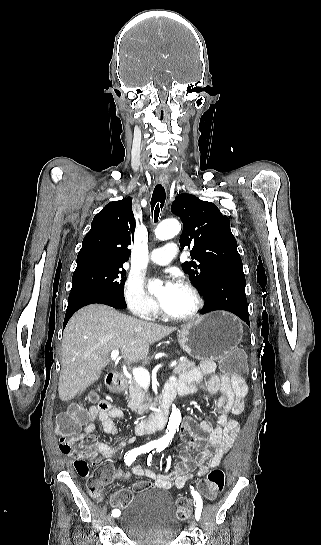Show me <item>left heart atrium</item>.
I'll return each instance as SVG.
<instances>
[{"label": "left heart atrium", "mask_w": 321, "mask_h": 545, "mask_svg": "<svg viewBox=\"0 0 321 545\" xmlns=\"http://www.w3.org/2000/svg\"><path fill=\"white\" fill-rule=\"evenodd\" d=\"M180 285L177 276L172 274L163 280V291L159 300L160 307L166 309L172 298L178 291Z\"/></svg>", "instance_id": "obj_1"}]
</instances>
